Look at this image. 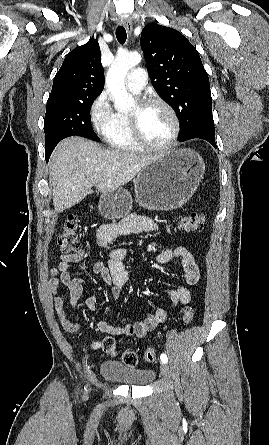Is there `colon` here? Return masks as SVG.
I'll return each instance as SVG.
<instances>
[{
	"label": "colon",
	"instance_id": "obj_1",
	"mask_svg": "<svg viewBox=\"0 0 269 445\" xmlns=\"http://www.w3.org/2000/svg\"><path fill=\"white\" fill-rule=\"evenodd\" d=\"M206 226V218L202 213L193 212L183 216L178 222V229L184 232L201 231ZM58 246L63 254L84 256L85 251L81 245L78 232V218L75 215H69L64 222L61 233L58 236ZM195 315L192 306H186L183 310L182 322L188 325L192 322ZM102 350L109 356H116L118 353L117 343L111 336L102 340ZM144 359L152 363L156 360V352L148 348L144 352ZM122 362L128 367H136L139 363L138 354L134 351H125L122 355Z\"/></svg>",
	"mask_w": 269,
	"mask_h": 445
}]
</instances>
